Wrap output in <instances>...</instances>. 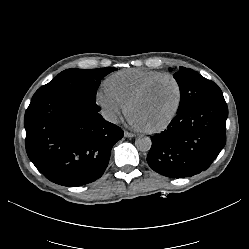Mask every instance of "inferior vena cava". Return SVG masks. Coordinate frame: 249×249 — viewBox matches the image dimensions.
I'll return each mask as SVG.
<instances>
[{"instance_id":"1","label":"inferior vena cava","mask_w":249,"mask_h":249,"mask_svg":"<svg viewBox=\"0 0 249 249\" xmlns=\"http://www.w3.org/2000/svg\"><path fill=\"white\" fill-rule=\"evenodd\" d=\"M101 115L108 122H111L114 124L118 123L116 114L111 110H102Z\"/></svg>"}]
</instances>
